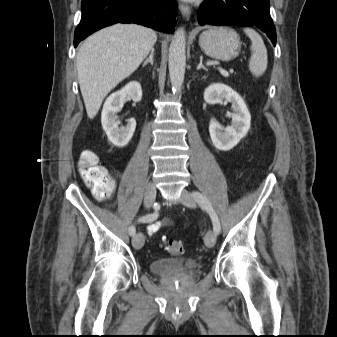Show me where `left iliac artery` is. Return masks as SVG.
<instances>
[{
    "mask_svg": "<svg viewBox=\"0 0 337 337\" xmlns=\"http://www.w3.org/2000/svg\"><path fill=\"white\" fill-rule=\"evenodd\" d=\"M192 195L196 199V201L199 203V205L208 212L209 216L211 217L212 223H213L214 232L216 235H218L221 231L220 221L210 201L203 194L199 192H193Z\"/></svg>",
    "mask_w": 337,
    "mask_h": 337,
    "instance_id": "obj_1",
    "label": "left iliac artery"
}]
</instances>
